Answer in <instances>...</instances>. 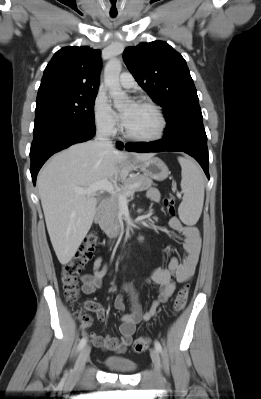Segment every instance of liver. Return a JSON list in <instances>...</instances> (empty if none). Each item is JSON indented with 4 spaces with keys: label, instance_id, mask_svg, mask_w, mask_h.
<instances>
[{
    "label": "liver",
    "instance_id": "liver-1",
    "mask_svg": "<svg viewBox=\"0 0 261 399\" xmlns=\"http://www.w3.org/2000/svg\"><path fill=\"white\" fill-rule=\"evenodd\" d=\"M133 156L135 162L128 161ZM153 153H125L99 141L72 145L56 154L37 178L39 196L47 230L56 256L62 265L71 261L91 228L97 199L79 194L75 188H87L104 179L125 180L136 162H144Z\"/></svg>",
    "mask_w": 261,
    "mask_h": 399
}]
</instances>
